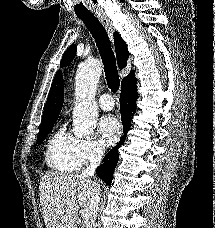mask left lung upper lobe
Masks as SVG:
<instances>
[{"instance_id":"obj_1","label":"left lung upper lobe","mask_w":215,"mask_h":228,"mask_svg":"<svg viewBox=\"0 0 215 228\" xmlns=\"http://www.w3.org/2000/svg\"><path fill=\"white\" fill-rule=\"evenodd\" d=\"M76 55V45H71L63 55L61 65L67 66Z\"/></svg>"}]
</instances>
